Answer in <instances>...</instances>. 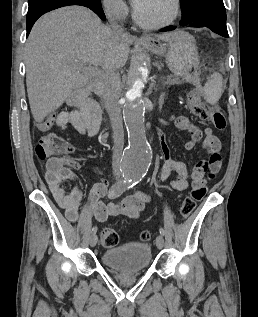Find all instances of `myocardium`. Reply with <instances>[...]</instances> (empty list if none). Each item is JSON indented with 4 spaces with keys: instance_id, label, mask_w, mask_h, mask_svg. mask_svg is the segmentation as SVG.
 I'll return each instance as SVG.
<instances>
[{
    "instance_id": "myocardium-1",
    "label": "myocardium",
    "mask_w": 258,
    "mask_h": 317,
    "mask_svg": "<svg viewBox=\"0 0 258 317\" xmlns=\"http://www.w3.org/2000/svg\"><path fill=\"white\" fill-rule=\"evenodd\" d=\"M152 1H154V0H141L135 5V7H134V21L138 26L144 28L145 30L155 32V31H160V30H163V29L169 27L176 20V18L178 17L179 11H180V5H179L178 0H169L174 5V12H173L172 17L159 26L145 27L140 20L139 10L144 4L152 2Z\"/></svg>"
}]
</instances>
